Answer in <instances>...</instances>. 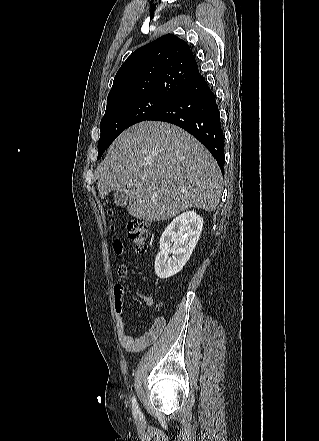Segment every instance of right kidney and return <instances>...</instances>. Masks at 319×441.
Returning a JSON list of instances; mask_svg holds the SVG:
<instances>
[{
    "label": "right kidney",
    "mask_w": 319,
    "mask_h": 441,
    "mask_svg": "<svg viewBox=\"0 0 319 441\" xmlns=\"http://www.w3.org/2000/svg\"><path fill=\"white\" fill-rule=\"evenodd\" d=\"M202 227V217L194 211H187L165 228L155 260V272L159 278H169L182 270L199 240ZM169 252H172L173 259L168 258Z\"/></svg>",
    "instance_id": "right-kidney-1"
}]
</instances>
